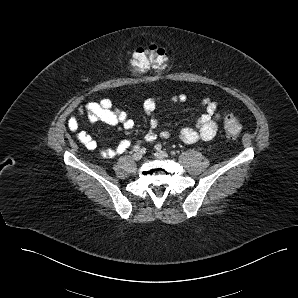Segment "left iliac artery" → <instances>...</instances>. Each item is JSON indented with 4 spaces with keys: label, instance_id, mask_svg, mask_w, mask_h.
<instances>
[{
    "label": "left iliac artery",
    "instance_id": "left-iliac-artery-1",
    "mask_svg": "<svg viewBox=\"0 0 298 298\" xmlns=\"http://www.w3.org/2000/svg\"><path fill=\"white\" fill-rule=\"evenodd\" d=\"M155 148H156V150L159 151V150H161L162 146H161V144H156V145H155Z\"/></svg>",
    "mask_w": 298,
    "mask_h": 298
}]
</instances>
